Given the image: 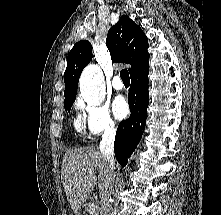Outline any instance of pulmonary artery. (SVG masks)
<instances>
[{
  "instance_id": "pulmonary-artery-1",
  "label": "pulmonary artery",
  "mask_w": 221,
  "mask_h": 215,
  "mask_svg": "<svg viewBox=\"0 0 221 215\" xmlns=\"http://www.w3.org/2000/svg\"><path fill=\"white\" fill-rule=\"evenodd\" d=\"M112 86L115 90H122L124 87V84L121 80V77L119 75H116L112 79Z\"/></svg>"
}]
</instances>
